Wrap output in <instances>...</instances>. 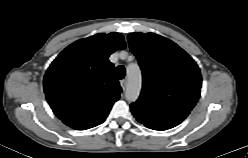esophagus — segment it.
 Here are the masks:
<instances>
[{
	"mask_svg": "<svg viewBox=\"0 0 248 158\" xmlns=\"http://www.w3.org/2000/svg\"><path fill=\"white\" fill-rule=\"evenodd\" d=\"M120 85L122 89L125 90L127 86V80L126 79L121 80Z\"/></svg>",
	"mask_w": 248,
	"mask_h": 158,
	"instance_id": "1",
	"label": "esophagus"
}]
</instances>
